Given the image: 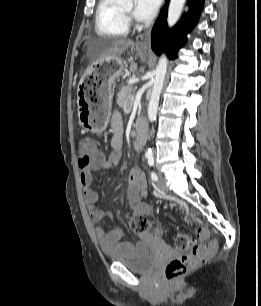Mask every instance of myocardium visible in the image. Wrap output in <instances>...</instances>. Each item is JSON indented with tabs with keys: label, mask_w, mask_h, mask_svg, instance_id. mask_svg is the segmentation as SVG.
<instances>
[{
	"label": "myocardium",
	"mask_w": 261,
	"mask_h": 306,
	"mask_svg": "<svg viewBox=\"0 0 261 306\" xmlns=\"http://www.w3.org/2000/svg\"><path fill=\"white\" fill-rule=\"evenodd\" d=\"M123 11V13H124V15H125V17H130V14H129V12H127V11H125V10H122Z\"/></svg>",
	"instance_id": "1"
}]
</instances>
